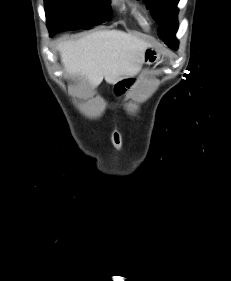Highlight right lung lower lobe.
I'll return each mask as SVG.
<instances>
[{
	"label": "right lung lower lobe",
	"instance_id": "right-lung-lower-lobe-1",
	"mask_svg": "<svg viewBox=\"0 0 231 281\" xmlns=\"http://www.w3.org/2000/svg\"><path fill=\"white\" fill-rule=\"evenodd\" d=\"M51 36H53L54 33L50 32Z\"/></svg>",
	"mask_w": 231,
	"mask_h": 281
}]
</instances>
